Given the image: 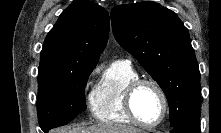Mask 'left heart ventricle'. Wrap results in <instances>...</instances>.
Masks as SVG:
<instances>
[{
  "label": "left heart ventricle",
  "mask_w": 221,
  "mask_h": 133,
  "mask_svg": "<svg viewBox=\"0 0 221 133\" xmlns=\"http://www.w3.org/2000/svg\"><path fill=\"white\" fill-rule=\"evenodd\" d=\"M134 109L142 121L156 122L162 114V101L158 92L149 85L140 87L134 97Z\"/></svg>",
  "instance_id": "1"
}]
</instances>
